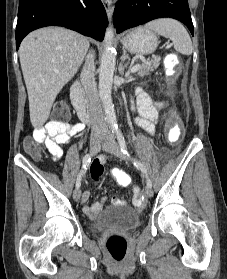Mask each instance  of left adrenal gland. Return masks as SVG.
<instances>
[{
    "instance_id": "left-adrenal-gland-1",
    "label": "left adrenal gland",
    "mask_w": 227,
    "mask_h": 279,
    "mask_svg": "<svg viewBox=\"0 0 227 279\" xmlns=\"http://www.w3.org/2000/svg\"><path fill=\"white\" fill-rule=\"evenodd\" d=\"M130 57L126 54V50L123 49V54L121 56V63L119 65V72L124 75V70L129 65Z\"/></svg>"
}]
</instances>
